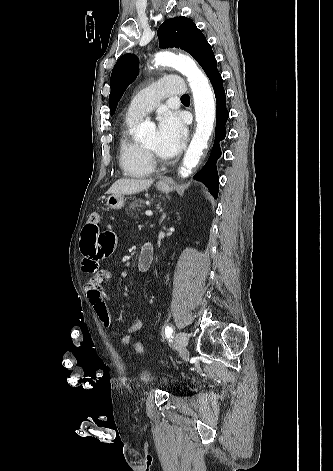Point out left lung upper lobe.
<instances>
[{
	"mask_svg": "<svg viewBox=\"0 0 333 471\" xmlns=\"http://www.w3.org/2000/svg\"><path fill=\"white\" fill-rule=\"evenodd\" d=\"M157 35L160 48H181L190 53L200 66L213 54L203 33L191 19L184 16L166 20L160 25ZM137 72L138 59L133 54H125L116 62L111 74L109 95L111 115L115 113L117 103L125 89L135 80Z\"/></svg>",
	"mask_w": 333,
	"mask_h": 471,
	"instance_id": "obj_1",
	"label": "left lung upper lobe"
}]
</instances>
